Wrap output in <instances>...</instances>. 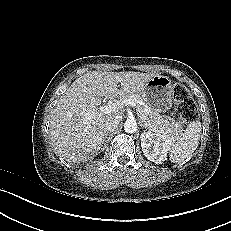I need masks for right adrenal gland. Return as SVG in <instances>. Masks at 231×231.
<instances>
[{
	"mask_svg": "<svg viewBox=\"0 0 231 231\" xmlns=\"http://www.w3.org/2000/svg\"><path fill=\"white\" fill-rule=\"evenodd\" d=\"M108 135H109V133L107 132V134H106V136H105V139H104V146H106V143H105V142H107Z\"/></svg>",
	"mask_w": 231,
	"mask_h": 231,
	"instance_id": "2a0ac1e0",
	"label": "right adrenal gland"
}]
</instances>
